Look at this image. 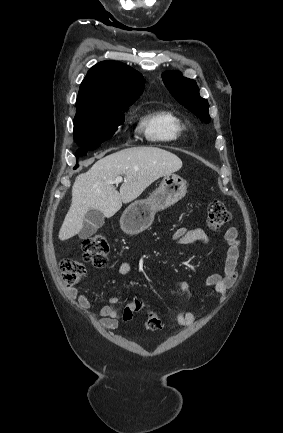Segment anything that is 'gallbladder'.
<instances>
[{"label":"gallbladder","mask_w":283,"mask_h":433,"mask_svg":"<svg viewBox=\"0 0 283 433\" xmlns=\"http://www.w3.org/2000/svg\"><path fill=\"white\" fill-rule=\"evenodd\" d=\"M104 221L105 217L101 210H98V208H89L88 212L85 214L83 227L78 233L80 239H88V237L94 235L100 227H103Z\"/></svg>","instance_id":"gallbladder-1"}]
</instances>
